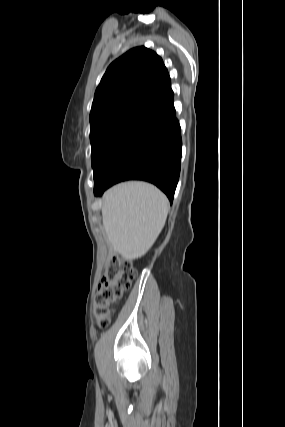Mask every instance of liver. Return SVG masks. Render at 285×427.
Segmentation results:
<instances>
[{"instance_id": "1", "label": "liver", "mask_w": 285, "mask_h": 427, "mask_svg": "<svg viewBox=\"0 0 285 427\" xmlns=\"http://www.w3.org/2000/svg\"><path fill=\"white\" fill-rule=\"evenodd\" d=\"M169 211L167 197L145 182H126L103 197L102 218L107 238L124 259L145 255L161 233Z\"/></svg>"}]
</instances>
